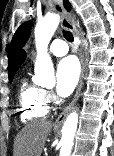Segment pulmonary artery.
Here are the masks:
<instances>
[{
    "mask_svg": "<svg viewBox=\"0 0 114 156\" xmlns=\"http://www.w3.org/2000/svg\"><path fill=\"white\" fill-rule=\"evenodd\" d=\"M68 50V45L61 39H55L49 47V52L57 57L66 55L68 53Z\"/></svg>",
    "mask_w": 114,
    "mask_h": 156,
    "instance_id": "e3ab8cb5",
    "label": "pulmonary artery"
}]
</instances>
